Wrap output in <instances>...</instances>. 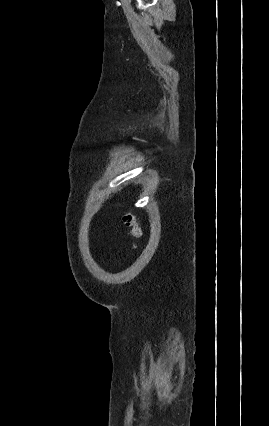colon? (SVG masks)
<instances>
[{
	"instance_id": "1",
	"label": "colon",
	"mask_w": 269,
	"mask_h": 426,
	"mask_svg": "<svg viewBox=\"0 0 269 426\" xmlns=\"http://www.w3.org/2000/svg\"><path fill=\"white\" fill-rule=\"evenodd\" d=\"M122 221L123 224L130 230V235L134 240L132 246L135 248V240L141 236V229L136 220V217L130 212H125L122 216Z\"/></svg>"
}]
</instances>
